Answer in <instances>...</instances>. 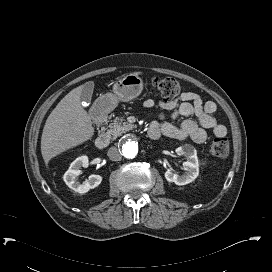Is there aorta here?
Segmentation results:
<instances>
[{"label":"aorta","instance_id":"1","mask_svg":"<svg viewBox=\"0 0 272 272\" xmlns=\"http://www.w3.org/2000/svg\"><path fill=\"white\" fill-rule=\"evenodd\" d=\"M121 150L124 157L133 159L138 156L141 151V141L134 135L130 134L121 142Z\"/></svg>","mask_w":272,"mask_h":272}]
</instances>
